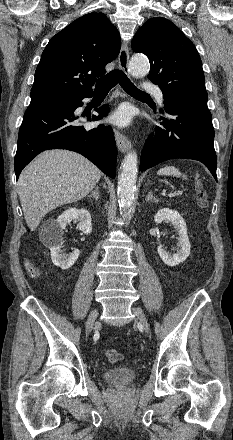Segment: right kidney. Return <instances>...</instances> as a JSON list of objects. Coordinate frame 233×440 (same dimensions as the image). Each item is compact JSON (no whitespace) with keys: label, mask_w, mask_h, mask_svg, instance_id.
<instances>
[{"label":"right kidney","mask_w":233,"mask_h":440,"mask_svg":"<svg viewBox=\"0 0 233 440\" xmlns=\"http://www.w3.org/2000/svg\"><path fill=\"white\" fill-rule=\"evenodd\" d=\"M71 221L78 222L79 230L88 235L92 232L91 216L85 209L70 208L56 220H49L43 226V243L50 249L51 259L55 266L67 270L77 261L80 251L75 249L71 254H61L63 230Z\"/></svg>","instance_id":"obj_1"}]
</instances>
